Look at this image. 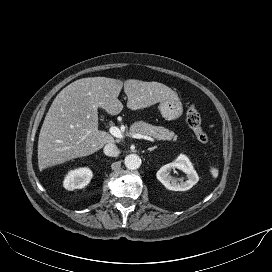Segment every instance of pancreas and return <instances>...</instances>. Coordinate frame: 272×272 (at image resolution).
Listing matches in <instances>:
<instances>
[{
    "mask_svg": "<svg viewBox=\"0 0 272 272\" xmlns=\"http://www.w3.org/2000/svg\"><path fill=\"white\" fill-rule=\"evenodd\" d=\"M130 132L132 134L138 133L142 135H147L154 137L157 140L163 141H176L177 135L174 132L162 127V126H153L146 122H136L130 127Z\"/></svg>",
    "mask_w": 272,
    "mask_h": 272,
    "instance_id": "obj_1",
    "label": "pancreas"
}]
</instances>
